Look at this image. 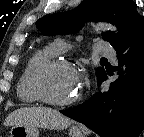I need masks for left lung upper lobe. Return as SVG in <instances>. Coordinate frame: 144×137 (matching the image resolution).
I'll return each mask as SVG.
<instances>
[{
  "instance_id": "1",
  "label": "left lung upper lobe",
  "mask_w": 144,
  "mask_h": 137,
  "mask_svg": "<svg viewBox=\"0 0 144 137\" xmlns=\"http://www.w3.org/2000/svg\"><path fill=\"white\" fill-rule=\"evenodd\" d=\"M136 3L132 0H84L76 9L52 14L37 20V28L43 35L74 33L86 21H107L117 26L119 33L107 31L102 38L114 49L122 45L129 35L144 21L136 11ZM106 71L98 67V81Z\"/></svg>"
}]
</instances>
